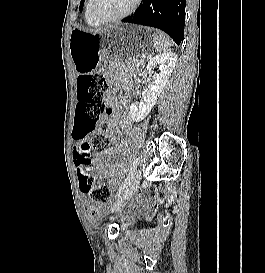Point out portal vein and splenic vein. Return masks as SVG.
<instances>
[{
	"label": "portal vein and splenic vein",
	"mask_w": 265,
	"mask_h": 273,
	"mask_svg": "<svg viewBox=\"0 0 265 273\" xmlns=\"http://www.w3.org/2000/svg\"><path fill=\"white\" fill-rule=\"evenodd\" d=\"M142 57H143L144 59L146 58V56H145V55H143Z\"/></svg>",
	"instance_id": "18ae733b"
}]
</instances>
